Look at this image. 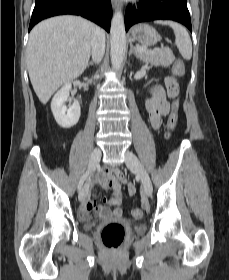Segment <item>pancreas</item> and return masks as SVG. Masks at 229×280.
I'll list each match as a JSON object with an SVG mask.
<instances>
[{
	"label": "pancreas",
	"instance_id": "pancreas-1",
	"mask_svg": "<svg viewBox=\"0 0 229 280\" xmlns=\"http://www.w3.org/2000/svg\"><path fill=\"white\" fill-rule=\"evenodd\" d=\"M137 57L145 63L164 67L170 66L175 60V56L170 49H146L145 52H137Z\"/></svg>",
	"mask_w": 229,
	"mask_h": 280
}]
</instances>
